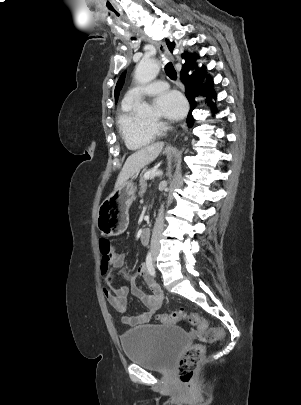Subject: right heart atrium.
<instances>
[{
    "instance_id": "d8ad5b80",
    "label": "right heart atrium",
    "mask_w": 301,
    "mask_h": 405,
    "mask_svg": "<svg viewBox=\"0 0 301 405\" xmlns=\"http://www.w3.org/2000/svg\"><path fill=\"white\" fill-rule=\"evenodd\" d=\"M154 128H155V129H160V128H162V124H155V125H154Z\"/></svg>"
}]
</instances>
